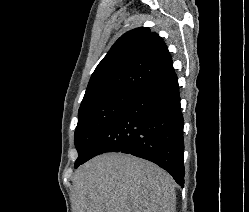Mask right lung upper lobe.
<instances>
[{
    "mask_svg": "<svg viewBox=\"0 0 249 212\" xmlns=\"http://www.w3.org/2000/svg\"><path fill=\"white\" fill-rule=\"evenodd\" d=\"M175 73L158 34L140 27L122 35L98 64L82 102L115 91L142 93Z\"/></svg>",
    "mask_w": 249,
    "mask_h": 212,
    "instance_id": "obj_1",
    "label": "right lung upper lobe"
}]
</instances>
